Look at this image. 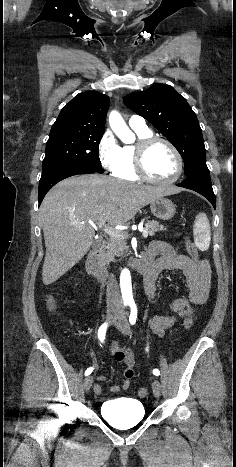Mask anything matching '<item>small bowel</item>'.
Wrapping results in <instances>:
<instances>
[{"instance_id":"c3829d8e","label":"small bowel","mask_w":236,"mask_h":467,"mask_svg":"<svg viewBox=\"0 0 236 467\" xmlns=\"http://www.w3.org/2000/svg\"><path fill=\"white\" fill-rule=\"evenodd\" d=\"M152 271L155 273L153 281H145V294L149 301H152L156 293V278L164 270H180L186 277L189 288L188 298L176 299L171 304V315L155 316L150 321L151 330L158 336H162L164 331L174 325L177 317L184 318L194 313L195 307L205 305L210 297L212 287V273L209 262L206 259L194 260L188 256L177 254L173 247L163 241H153L144 259ZM114 356L118 353L123 354L122 359H116L124 367L125 378L111 387L113 393L121 390H128L131 386V379L134 376V357L135 354L130 349H124L117 345L111 348ZM98 380L103 382L106 377L100 375ZM94 392L101 395L103 388L101 384H96Z\"/></svg>"}]
</instances>
